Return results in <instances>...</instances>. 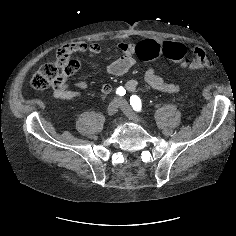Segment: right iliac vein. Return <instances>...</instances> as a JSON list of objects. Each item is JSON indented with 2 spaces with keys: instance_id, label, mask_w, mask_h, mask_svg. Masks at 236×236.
<instances>
[{
  "instance_id": "right-iliac-vein-1",
  "label": "right iliac vein",
  "mask_w": 236,
  "mask_h": 236,
  "mask_svg": "<svg viewBox=\"0 0 236 236\" xmlns=\"http://www.w3.org/2000/svg\"><path fill=\"white\" fill-rule=\"evenodd\" d=\"M118 108H119V101L117 100L111 101L107 108L108 115L111 117L114 114H116V112L118 111Z\"/></svg>"
}]
</instances>
